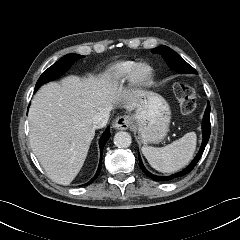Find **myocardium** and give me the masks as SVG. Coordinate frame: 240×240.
Instances as JSON below:
<instances>
[{
    "mask_svg": "<svg viewBox=\"0 0 240 240\" xmlns=\"http://www.w3.org/2000/svg\"><path fill=\"white\" fill-rule=\"evenodd\" d=\"M154 77V69L147 62L137 63L131 75L130 82L138 87L148 86Z\"/></svg>",
    "mask_w": 240,
    "mask_h": 240,
    "instance_id": "1",
    "label": "myocardium"
}]
</instances>
